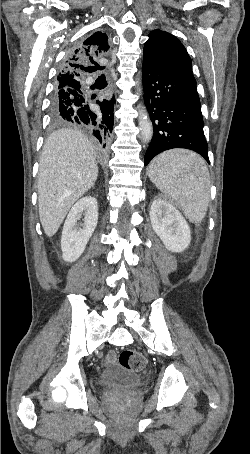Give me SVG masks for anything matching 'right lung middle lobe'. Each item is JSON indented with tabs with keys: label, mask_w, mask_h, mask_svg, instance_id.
<instances>
[{
	"label": "right lung middle lobe",
	"mask_w": 250,
	"mask_h": 454,
	"mask_svg": "<svg viewBox=\"0 0 250 454\" xmlns=\"http://www.w3.org/2000/svg\"><path fill=\"white\" fill-rule=\"evenodd\" d=\"M71 90L80 91L81 87H80V85H77V84H69V85H67L65 87H61V88L56 85V89H55V93H54L53 99H56L57 94H58L59 91H62V92L63 91H68V92H70L72 94ZM74 96H76V95H73V97ZM52 121L55 124H64L59 118H56V117H52Z\"/></svg>",
	"instance_id": "dd1d6c3e"
}]
</instances>
